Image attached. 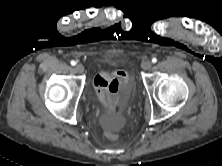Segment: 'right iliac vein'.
Listing matches in <instances>:
<instances>
[{"instance_id":"63e3f726","label":"right iliac vein","mask_w":222,"mask_h":166,"mask_svg":"<svg viewBox=\"0 0 222 166\" xmlns=\"http://www.w3.org/2000/svg\"><path fill=\"white\" fill-rule=\"evenodd\" d=\"M75 70H76V72H78V73H83V72H84V67H83V65H81V64H77V65L75 66Z\"/></svg>"}]
</instances>
